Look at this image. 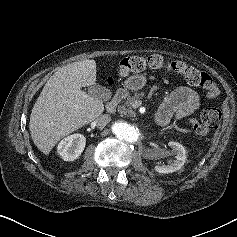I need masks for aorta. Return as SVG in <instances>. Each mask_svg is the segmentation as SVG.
I'll return each mask as SVG.
<instances>
[{
    "instance_id": "762f6f07",
    "label": "aorta",
    "mask_w": 237,
    "mask_h": 237,
    "mask_svg": "<svg viewBox=\"0 0 237 237\" xmlns=\"http://www.w3.org/2000/svg\"><path fill=\"white\" fill-rule=\"evenodd\" d=\"M112 131L117 137L130 143L136 142L140 136L138 127L122 121L115 122L112 126Z\"/></svg>"
}]
</instances>
